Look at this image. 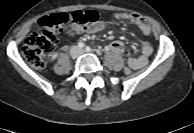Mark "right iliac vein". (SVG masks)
<instances>
[{"label": "right iliac vein", "instance_id": "1", "mask_svg": "<svg viewBox=\"0 0 194 133\" xmlns=\"http://www.w3.org/2000/svg\"><path fill=\"white\" fill-rule=\"evenodd\" d=\"M77 54H78V50L75 49V50L72 52V56H73V57H77Z\"/></svg>", "mask_w": 194, "mask_h": 133}]
</instances>
